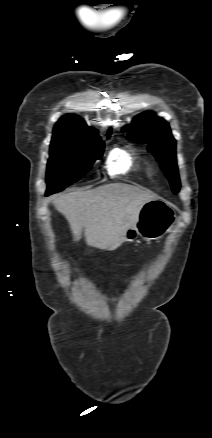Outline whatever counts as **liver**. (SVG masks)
Instances as JSON below:
<instances>
[{"instance_id":"1","label":"liver","mask_w":212,"mask_h":438,"mask_svg":"<svg viewBox=\"0 0 212 438\" xmlns=\"http://www.w3.org/2000/svg\"><path fill=\"white\" fill-rule=\"evenodd\" d=\"M158 197L127 184H108L92 190L75 191L53 198L55 208L67 219L74 241L84 230L87 245L115 249L125 241L142 206Z\"/></svg>"}]
</instances>
